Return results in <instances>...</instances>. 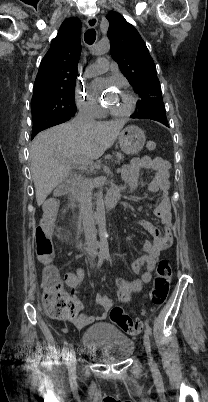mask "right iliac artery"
<instances>
[{
	"mask_svg": "<svg viewBox=\"0 0 208 402\" xmlns=\"http://www.w3.org/2000/svg\"><path fill=\"white\" fill-rule=\"evenodd\" d=\"M105 255L104 254H100L99 255V260H98V263H97V268H99V267H101V265H102V263H103V261H104V259H105ZM68 350H69V348H68V343H67V341H64V346H63V354L67 357V355H68Z\"/></svg>",
	"mask_w": 208,
	"mask_h": 402,
	"instance_id": "82829eb1",
	"label": "right iliac artery"
}]
</instances>
